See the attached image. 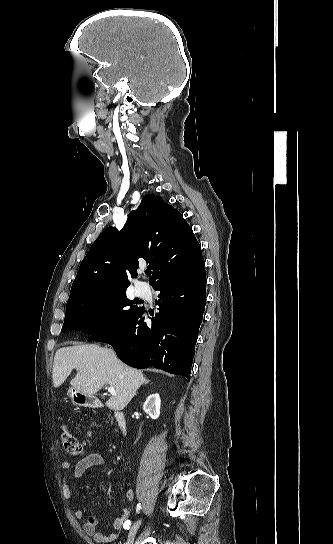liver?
Wrapping results in <instances>:
<instances>
[{
  "label": "liver",
  "mask_w": 333,
  "mask_h": 544,
  "mask_svg": "<svg viewBox=\"0 0 333 544\" xmlns=\"http://www.w3.org/2000/svg\"><path fill=\"white\" fill-rule=\"evenodd\" d=\"M73 369L77 374L70 384L82 394H95L104 385L113 387L115 395L106 406L115 411L123 410L147 381L141 371L119 361L112 349L96 344L74 345L56 351L52 372L54 387L61 386Z\"/></svg>",
  "instance_id": "obj_1"
}]
</instances>
